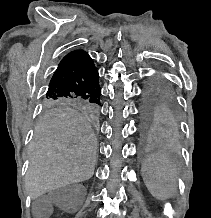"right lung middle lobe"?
I'll list each match as a JSON object with an SVG mask.
<instances>
[{
    "label": "right lung middle lobe",
    "mask_w": 211,
    "mask_h": 218,
    "mask_svg": "<svg viewBox=\"0 0 211 218\" xmlns=\"http://www.w3.org/2000/svg\"><path fill=\"white\" fill-rule=\"evenodd\" d=\"M98 103H94L87 99L78 97H46L43 101V108L45 110H56L66 107H79L87 110L90 113H96L99 109Z\"/></svg>",
    "instance_id": "1"
}]
</instances>
